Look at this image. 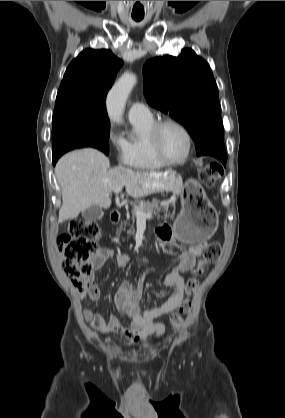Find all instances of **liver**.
<instances>
[{
	"label": "liver",
	"instance_id": "6515ba94",
	"mask_svg": "<svg viewBox=\"0 0 285 418\" xmlns=\"http://www.w3.org/2000/svg\"><path fill=\"white\" fill-rule=\"evenodd\" d=\"M109 165V159L92 148L72 151L59 159L55 175L62 189L60 223L77 218L92 205L109 208L116 187L125 186L126 193L134 198L158 191L176 195L182 191V178L173 171H133L122 166L108 170Z\"/></svg>",
	"mask_w": 285,
	"mask_h": 418
}]
</instances>
